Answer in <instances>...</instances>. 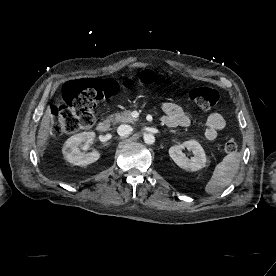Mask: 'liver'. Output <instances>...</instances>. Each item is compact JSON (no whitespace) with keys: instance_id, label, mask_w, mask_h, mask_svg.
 <instances>
[{"instance_id":"1","label":"liver","mask_w":276,"mask_h":276,"mask_svg":"<svg viewBox=\"0 0 276 276\" xmlns=\"http://www.w3.org/2000/svg\"><path fill=\"white\" fill-rule=\"evenodd\" d=\"M145 63H134L129 67L137 68V67H146ZM50 106L46 109V112L41 120L38 136H37V144L40 149H45L47 141L49 139V130H50V122L52 119V114L50 112Z\"/></svg>"}]
</instances>
